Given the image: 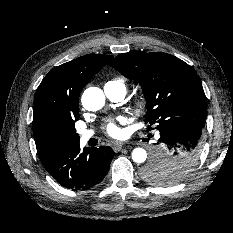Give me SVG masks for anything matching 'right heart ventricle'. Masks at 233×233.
Returning a JSON list of instances; mask_svg holds the SVG:
<instances>
[{
	"label": "right heart ventricle",
	"instance_id": "e07e8e85",
	"mask_svg": "<svg viewBox=\"0 0 233 233\" xmlns=\"http://www.w3.org/2000/svg\"><path fill=\"white\" fill-rule=\"evenodd\" d=\"M105 86L110 87V88H122L126 89V84L125 81L121 78H113L109 80Z\"/></svg>",
	"mask_w": 233,
	"mask_h": 233
}]
</instances>
